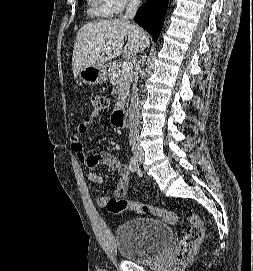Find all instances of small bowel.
Wrapping results in <instances>:
<instances>
[{"mask_svg": "<svg viewBox=\"0 0 253 271\" xmlns=\"http://www.w3.org/2000/svg\"><path fill=\"white\" fill-rule=\"evenodd\" d=\"M98 116L99 113L94 111L82 118L77 128V134L73 135L70 139V148L76 155L78 161L87 168V177L93 184L101 185L103 183V178L95 171L96 167L105 166L113 171H116L120 179L116 189L114 190L113 196L120 198L127 193L130 185L131 170L129 166L122 164L117 157L109 152L102 151L87 155L83 150V145L79 138L80 135H85L89 132L92 123L98 118ZM109 199H111V197L108 195H100L97 197V203L103 207Z\"/></svg>", "mask_w": 253, "mask_h": 271, "instance_id": "obj_1", "label": "small bowel"}]
</instances>
